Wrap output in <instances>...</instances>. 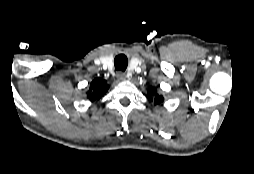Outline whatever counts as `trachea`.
I'll return each instance as SVG.
<instances>
[{
  "mask_svg": "<svg viewBox=\"0 0 254 174\" xmlns=\"http://www.w3.org/2000/svg\"><path fill=\"white\" fill-rule=\"evenodd\" d=\"M114 64H115L116 70L125 71L128 65L126 56L123 54L116 56L114 60Z\"/></svg>",
  "mask_w": 254,
  "mask_h": 174,
  "instance_id": "trachea-1",
  "label": "trachea"
}]
</instances>
